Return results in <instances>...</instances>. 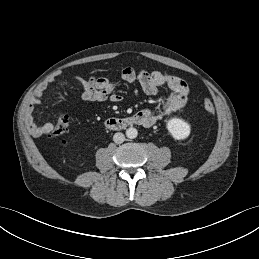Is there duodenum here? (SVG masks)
I'll use <instances>...</instances> for the list:
<instances>
[{"instance_id":"obj_1","label":"duodenum","mask_w":259,"mask_h":259,"mask_svg":"<svg viewBox=\"0 0 259 259\" xmlns=\"http://www.w3.org/2000/svg\"><path fill=\"white\" fill-rule=\"evenodd\" d=\"M136 124H140L139 116L137 115L123 118H109L104 122L105 127L112 130L124 129Z\"/></svg>"}]
</instances>
